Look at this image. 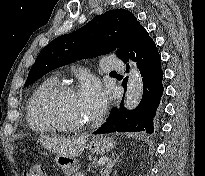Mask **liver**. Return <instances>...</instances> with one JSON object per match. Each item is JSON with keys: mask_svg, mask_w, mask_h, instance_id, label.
Wrapping results in <instances>:
<instances>
[{"mask_svg": "<svg viewBox=\"0 0 205 176\" xmlns=\"http://www.w3.org/2000/svg\"><path fill=\"white\" fill-rule=\"evenodd\" d=\"M87 140L88 136L83 135L73 139L42 137L39 139V142L45 148L52 150L56 154L77 157L83 152Z\"/></svg>", "mask_w": 205, "mask_h": 176, "instance_id": "obj_1", "label": "liver"}]
</instances>
